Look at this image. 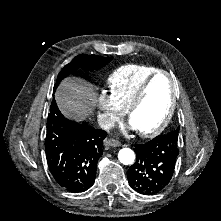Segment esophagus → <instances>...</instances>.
<instances>
[{"label": "esophagus", "instance_id": "34e87169", "mask_svg": "<svg viewBox=\"0 0 221 221\" xmlns=\"http://www.w3.org/2000/svg\"><path fill=\"white\" fill-rule=\"evenodd\" d=\"M104 145L106 147H117L120 146V142L111 138H106L104 140Z\"/></svg>", "mask_w": 221, "mask_h": 221}]
</instances>
